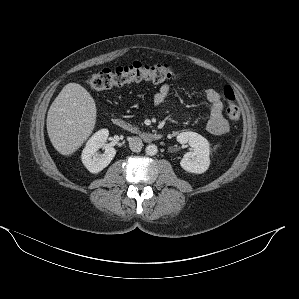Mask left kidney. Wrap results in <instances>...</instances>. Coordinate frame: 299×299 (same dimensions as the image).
<instances>
[{
  "label": "left kidney",
  "instance_id": "obj_1",
  "mask_svg": "<svg viewBox=\"0 0 299 299\" xmlns=\"http://www.w3.org/2000/svg\"><path fill=\"white\" fill-rule=\"evenodd\" d=\"M176 139L181 144L188 143L192 148V151L184 155L180 166L190 173H204L210 165L208 140L200 134L191 131L178 134Z\"/></svg>",
  "mask_w": 299,
  "mask_h": 299
}]
</instances>
